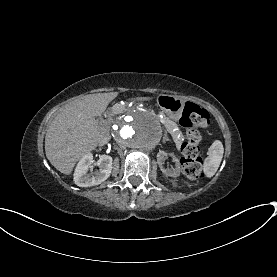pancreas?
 Here are the masks:
<instances>
[{"instance_id": "cf45deb5", "label": "pancreas", "mask_w": 277, "mask_h": 277, "mask_svg": "<svg viewBox=\"0 0 277 277\" xmlns=\"http://www.w3.org/2000/svg\"><path fill=\"white\" fill-rule=\"evenodd\" d=\"M159 124L164 125L167 122L166 117L161 116L158 119ZM166 131L172 137V145L174 147H181L183 145V136L180 134V128L175 122H167Z\"/></svg>"}]
</instances>
